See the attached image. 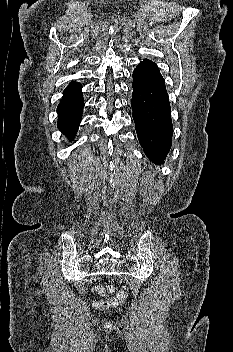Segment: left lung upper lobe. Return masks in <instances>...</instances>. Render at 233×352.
Segmentation results:
<instances>
[{"mask_svg": "<svg viewBox=\"0 0 233 352\" xmlns=\"http://www.w3.org/2000/svg\"><path fill=\"white\" fill-rule=\"evenodd\" d=\"M144 62L159 71L158 66L154 62H152L151 60L144 59Z\"/></svg>", "mask_w": 233, "mask_h": 352, "instance_id": "obj_1", "label": "left lung upper lobe"}]
</instances>
